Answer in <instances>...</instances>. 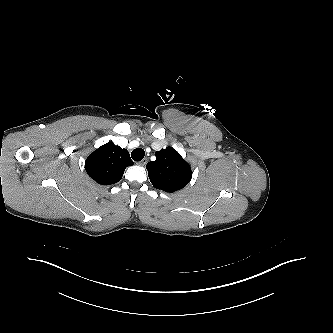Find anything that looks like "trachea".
<instances>
[{
	"label": "trachea",
	"instance_id": "1",
	"mask_svg": "<svg viewBox=\"0 0 333 333\" xmlns=\"http://www.w3.org/2000/svg\"><path fill=\"white\" fill-rule=\"evenodd\" d=\"M145 155V152L142 148H136L132 151L131 157L134 161H141Z\"/></svg>",
	"mask_w": 333,
	"mask_h": 333
}]
</instances>
